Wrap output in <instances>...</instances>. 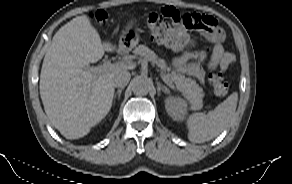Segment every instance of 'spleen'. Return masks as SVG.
Instances as JSON below:
<instances>
[{
    "label": "spleen",
    "mask_w": 292,
    "mask_h": 184,
    "mask_svg": "<svg viewBox=\"0 0 292 184\" xmlns=\"http://www.w3.org/2000/svg\"><path fill=\"white\" fill-rule=\"evenodd\" d=\"M238 94L232 93L214 110L190 114L186 119L188 139L191 142L203 143L218 136L228 125L237 107Z\"/></svg>",
    "instance_id": "1"
}]
</instances>
